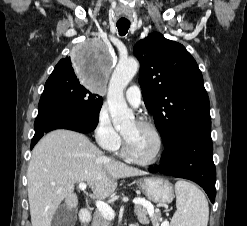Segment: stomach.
I'll return each mask as SVG.
<instances>
[{
    "instance_id": "stomach-1",
    "label": "stomach",
    "mask_w": 247,
    "mask_h": 226,
    "mask_svg": "<svg viewBox=\"0 0 247 226\" xmlns=\"http://www.w3.org/2000/svg\"><path fill=\"white\" fill-rule=\"evenodd\" d=\"M139 189L146 197L156 203H171L174 197L172 184L161 177H146L137 180Z\"/></svg>"
}]
</instances>
